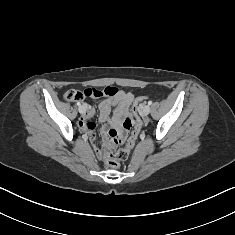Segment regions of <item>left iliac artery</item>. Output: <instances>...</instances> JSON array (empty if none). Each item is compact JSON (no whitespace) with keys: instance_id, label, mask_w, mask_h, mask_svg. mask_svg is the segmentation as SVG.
Instances as JSON below:
<instances>
[{"instance_id":"44dca946","label":"left iliac artery","mask_w":235,"mask_h":235,"mask_svg":"<svg viewBox=\"0 0 235 235\" xmlns=\"http://www.w3.org/2000/svg\"><path fill=\"white\" fill-rule=\"evenodd\" d=\"M151 104H152V101H149V102H148V105H151Z\"/></svg>"}]
</instances>
